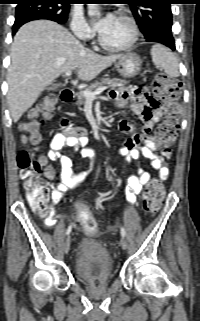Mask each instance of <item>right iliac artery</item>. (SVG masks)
Returning <instances> with one entry per match:
<instances>
[{"label": "right iliac artery", "mask_w": 200, "mask_h": 321, "mask_svg": "<svg viewBox=\"0 0 200 321\" xmlns=\"http://www.w3.org/2000/svg\"><path fill=\"white\" fill-rule=\"evenodd\" d=\"M98 172H99V170H98ZM70 232H71V226H69L68 229L66 230V235H69Z\"/></svg>", "instance_id": "obj_1"}]
</instances>
